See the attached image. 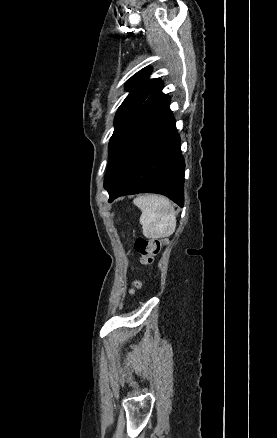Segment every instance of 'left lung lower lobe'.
Returning a JSON list of instances; mask_svg holds the SVG:
<instances>
[{
	"instance_id": "left-lung-lower-lobe-1",
	"label": "left lung lower lobe",
	"mask_w": 277,
	"mask_h": 438,
	"mask_svg": "<svg viewBox=\"0 0 277 438\" xmlns=\"http://www.w3.org/2000/svg\"><path fill=\"white\" fill-rule=\"evenodd\" d=\"M185 162L169 100L150 95L133 128L123 166L107 189L109 202L141 192L159 193L184 204Z\"/></svg>"
}]
</instances>
